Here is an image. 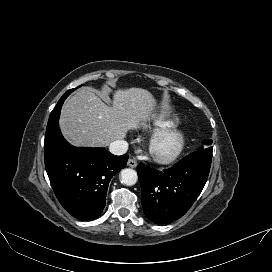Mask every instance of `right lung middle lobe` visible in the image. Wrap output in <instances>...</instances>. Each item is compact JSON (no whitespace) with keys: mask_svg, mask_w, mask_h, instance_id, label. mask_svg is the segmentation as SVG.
<instances>
[{"mask_svg":"<svg viewBox=\"0 0 272 272\" xmlns=\"http://www.w3.org/2000/svg\"><path fill=\"white\" fill-rule=\"evenodd\" d=\"M76 89V88H75ZM75 89H71V90H68L62 97L61 99L59 100L58 104L60 102H63L67 96L72 92L74 91ZM59 110L57 107L54 108V110L52 111L50 117H49V121H48V124H47V129L48 128H51L52 126H54L57 122H58V118H59Z\"/></svg>","mask_w":272,"mask_h":272,"instance_id":"dd1d6c3e","label":"right lung middle lobe"}]
</instances>
